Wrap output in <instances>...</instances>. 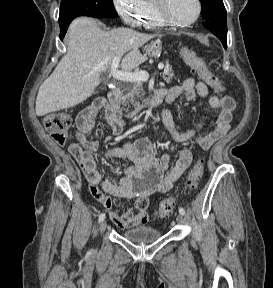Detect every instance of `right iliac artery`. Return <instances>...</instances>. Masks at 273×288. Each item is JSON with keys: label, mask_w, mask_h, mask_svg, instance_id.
<instances>
[{"label": "right iliac artery", "mask_w": 273, "mask_h": 288, "mask_svg": "<svg viewBox=\"0 0 273 288\" xmlns=\"http://www.w3.org/2000/svg\"><path fill=\"white\" fill-rule=\"evenodd\" d=\"M104 219H105V213H101L98 219L99 223L102 222Z\"/></svg>", "instance_id": "right-iliac-artery-1"}]
</instances>
